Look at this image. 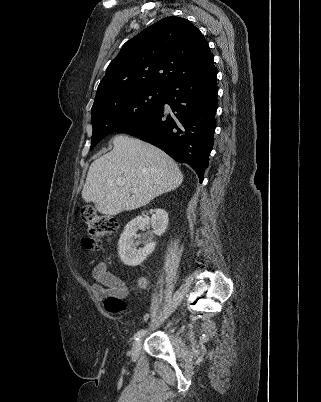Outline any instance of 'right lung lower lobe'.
<instances>
[{
  "label": "right lung lower lobe",
  "instance_id": "obj_1",
  "mask_svg": "<svg viewBox=\"0 0 321 402\" xmlns=\"http://www.w3.org/2000/svg\"><path fill=\"white\" fill-rule=\"evenodd\" d=\"M216 76L212 63L180 77L165 88L157 110L117 131L132 134L159 147L176 161L189 164L201 183L214 142Z\"/></svg>",
  "mask_w": 321,
  "mask_h": 402
}]
</instances>
